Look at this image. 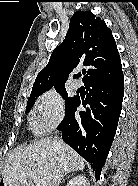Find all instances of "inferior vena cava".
<instances>
[{"label":"inferior vena cava","mask_w":138,"mask_h":186,"mask_svg":"<svg viewBox=\"0 0 138 186\" xmlns=\"http://www.w3.org/2000/svg\"><path fill=\"white\" fill-rule=\"evenodd\" d=\"M53 144L56 145V146H59L61 145L62 141L57 137V135L54 137L53 139Z\"/></svg>","instance_id":"602c4592"}]
</instances>
